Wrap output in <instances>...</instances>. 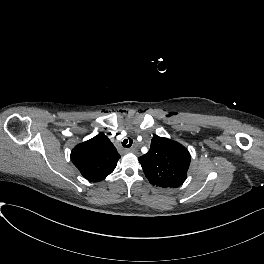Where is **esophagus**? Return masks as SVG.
<instances>
[{
    "label": "esophagus",
    "instance_id": "34e87169",
    "mask_svg": "<svg viewBox=\"0 0 264 264\" xmlns=\"http://www.w3.org/2000/svg\"><path fill=\"white\" fill-rule=\"evenodd\" d=\"M137 150L135 147L126 149V152L135 153Z\"/></svg>",
    "mask_w": 264,
    "mask_h": 264
}]
</instances>
